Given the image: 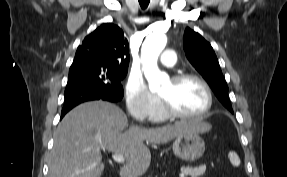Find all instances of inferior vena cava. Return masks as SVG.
<instances>
[{
	"mask_svg": "<svg viewBox=\"0 0 287 177\" xmlns=\"http://www.w3.org/2000/svg\"><path fill=\"white\" fill-rule=\"evenodd\" d=\"M127 176H128V177H132V174H128Z\"/></svg>",
	"mask_w": 287,
	"mask_h": 177,
	"instance_id": "inferior-vena-cava-1",
	"label": "inferior vena cava"
}]
</instances>
